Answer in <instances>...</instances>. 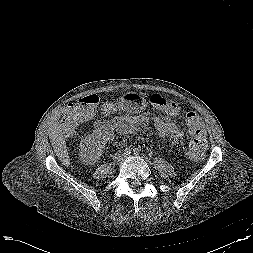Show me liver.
<instances>
[{"instance_id": "obj_1", "label": "liver", "mask_w": 253, "mask_h": 253, "mask_svg": "<svg viewBox=\"0 0 253 253\" xmlns=\"http://www.w3.org/2000/svg\"><path fill=\"white\" fill-rule=\"evenodd\" d=\"M60 115H61V112L60 110H58L49 123L48 134L51 140V144L59 160L65 166H69L70 160H69V156L67 152L66 141L59 124Z\"/></svg>"}]
</instances>
